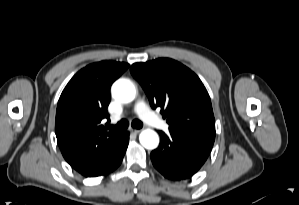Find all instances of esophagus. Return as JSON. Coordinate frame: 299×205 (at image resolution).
Instances as JSON below:
<instances>
[{
    "label": "esophagus",
    "mask_w": 299,
    "mask_h": 205,
    "mask_svg": "<svg viewBox=\"0 0 299 205\" xmlns=\"http://www.w3.org/2000/svg\"><path fill=\"white\" fill-rule=\"evenodd\" d=\"M141 130L139 129H130V132L137 135L138 133H140Z\"/></svg>",
    "instance_id": "1"
}]
</instances>
